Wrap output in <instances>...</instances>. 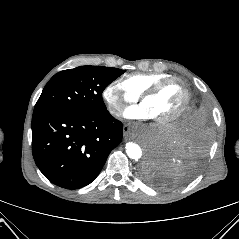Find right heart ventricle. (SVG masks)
<instances>
[{
  "label": "right heart ventricle",
  "instance_id": "right-heart-ventricle-1",
  "mask_svg": "<svg viewBox=\"0 0 239 239\" xmlns=\"http://www.w3.org/2000/svg\"><path fill=\"white\" fill-rule=\"evenodd\" d=\"M171 77L166 73H134L125 76L122 83L137 95H141L147 88L160 80Z\"/></svg>",
  "mask_w": 239,
  "mask_h": 239
}]
</instances>
